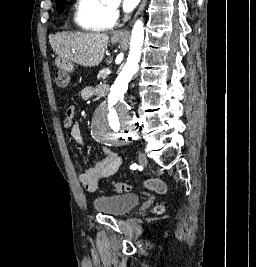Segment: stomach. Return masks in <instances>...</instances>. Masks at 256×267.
<instances>
[{"mask_svg": "<svg viewBox=\"0 0 256 267\" xmlns=\"http://www.w3.org/2000/svg\"><path fill=\"white\" fill-rule=\"evenodd\" d=\"M53 67H73V62H53Z\"/></svg>", "mask_w": 256, "mask_h": 267, "instance_id": "0dacf381", "label": "stomach"}]
</instances>
